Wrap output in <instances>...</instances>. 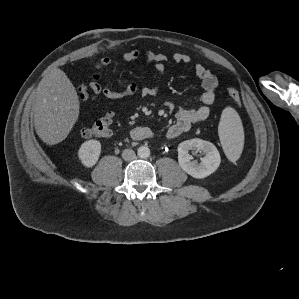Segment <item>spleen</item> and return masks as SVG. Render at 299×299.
I'll return each instance as SVG.
<instances>
[{"label":"spleen","mask_w":299,"mask_h":299,"mask_svg":"<svg viewBox=\"0 0 299 299\" xmlns=\"http://www.w3.org/2000/svg\"><path fill=\"white\" fill-rule=\"evenodd\" d=\"M218 132L224 151L231 162L241 155L244 144V131L241 119L232 107H226L218 126Z\"/></svg>","instance_id":"3e777b00"}]
</instances>
